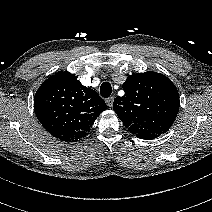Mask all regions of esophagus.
Wrapping results in <instances>:
<instances>
[{
	"instance_id": "esophagus-1",
	"label": "esophagus",
	"mask_w": 212,
	"mask_h": 212,
	"mask_svg": "<svg viewBox=\"0 0 212 212\" xmlns=\"http://www.w3.org/2000/svg\"><path fill=\"white\" fill-rule=\"evenodd\" d=\"M113 102H114V97H109L108 99H106V104L108 107H112Z\"/></svg>"
}]
</instances>
